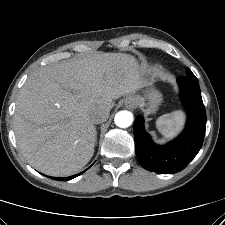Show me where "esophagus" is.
<instances>
[{"label": "esophagus", "instance_id": "1", "mask_svg": "<svg viewBox=\"0 0 225 225\" xmlns=\"http://www.w3.org/2000/svg\"><path fill=\"white\" fill-rule=\"evenodd\" d=\"M124 104L125 107L130 110H133L136 107V102L133 97H127Z\"/></svg>", "mask_w": 225, "mask_h": 225}]
</instances>
